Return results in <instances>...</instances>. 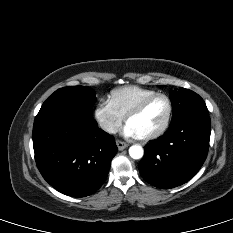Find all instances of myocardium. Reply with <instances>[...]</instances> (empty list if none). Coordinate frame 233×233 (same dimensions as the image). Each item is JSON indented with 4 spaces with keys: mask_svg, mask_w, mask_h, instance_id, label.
<instances>
[{
    "mask_svg": "<svg viewBox=\"0 0 233 233\" xmlns=\"http://www.w3.org/2000/svg\"><path fill=\"white\" fill-rule=\"evenodd\" d=\"M158 98H163L167 103L168 111H167L166 119H165L163 125L157 131H155L151 134L145 135V136H138V138L142 141L155 140V139L159 138L160 136H162L169 128L171 120H172V116H173V103H172V100L170 99V97L164 93H155V94L145 98L144 100H142L137 106H135L125 116V123L128 124L130 119L141 114L151 102H153L154 100H156Z\"/></svg>",
    "mask_w": 233,
    "mask_h": 233,
    "instance_id": "myocardium-1",
    "label": "myocardium"
}]
</instances>
